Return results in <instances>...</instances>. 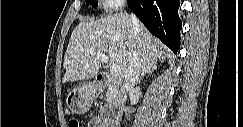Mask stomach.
<instances>
[{"label": "stomach", "mask_w": 243, "mask_h": 127, "mask_svg": "<svg viewBox=\"0 0 243 127\" xmlns=\"http://www.w3.org/2000/svg\"><path fill=\"white\" fill-rule=\"evenodd\" d=\"M97 93V86L83 82L72 89L66 97V105L70 112L75 114L86 113Z\"/></svg>", "instance_id": "1"}]
</instances>
